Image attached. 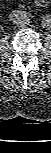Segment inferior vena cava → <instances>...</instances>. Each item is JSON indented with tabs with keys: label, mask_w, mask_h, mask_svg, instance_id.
I'll return each instance as SVG.
<instances>
[{
	"label": "inferior vena cava",
	"mask_w": 51,
	"mask_h": 153,
	"mask_svg": "<svg viewBox=\"0 0 51 153\" xmlns=\"http://www.w3.org/2000/svg\"><path fill=\"white\" fill-rule=\"evenodd\" d=\"M30 22V19L27 15L25 14H18L16 15V17L13 19V23L16 25V26H26L28 25Z\"/></svg>",
	"instance_id": "inferior-vena-cava-1"
}]
</instances>
